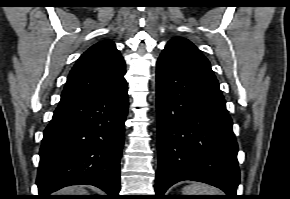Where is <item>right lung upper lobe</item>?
<instances>
[{"label": "right lung upper lobe", "instance_id": "obj_1", "mask_svg": "<svg viewBox=\"0 0 290 199\" xmlns=\"http://www.w3.org/2000/svg\"><path fill=\"white\" fill-rule=\"evenodd\" d=\"M125 62L115 44L104 40L90 47L69 73L59 104L91 98L125 83Z\"/></svg>", "mask_w": 290, "mask_h": 199}]
</instances>
